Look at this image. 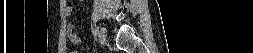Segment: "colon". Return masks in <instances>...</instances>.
Listing matches in <instances>:
<instances>
[{"label": "colon", "instance_id": "obj_1", "mask_svg": "<svg viewBox=\"0 0 253 53\" xmlns=\"http://www.w3.org/2000/svg\"><path fill=\"white\" fill-rule=\"evenodd\" d=\"M71 53H76V51L75 50H71Z\"/></svg>", "mask_w": 253, "mask_h": 53}]
</instances>
